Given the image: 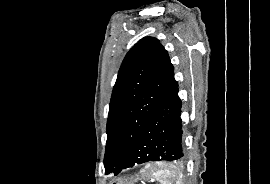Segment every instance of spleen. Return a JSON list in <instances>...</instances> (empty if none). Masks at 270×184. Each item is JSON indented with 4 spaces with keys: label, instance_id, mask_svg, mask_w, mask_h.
Segmentation results:
<instances>
[{
    "label": "spleen",
    "instance_id": "1",
    "mask_svg": "<svg viewBox=\"0 0 270 184\" xmlns=\"http://www.w3.org/2000/svg\"><path fill=\"white\" fill-rule=\"evenodd\" d=\"M141 173L144 178H156L160 184H182V173L174 165L148 164Z\"/></svg>",
    "mask_w": 270,
    "mask_h": 184
}]
</instances>
